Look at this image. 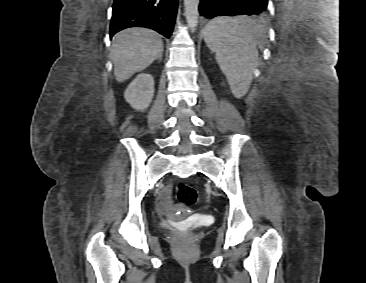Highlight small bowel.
Wrapping results in <instances>:
<instances>
[{"mask_svg": "<svg viewBox=\"0 0 366 283\" xmlns=\"http://www.w3.org/2000/svg\"><path fill=\"white\" fill-rule=\"evenodd\" d=\"M170 194H171L170 185H167L161 190L159 195V207L161 209H167L170 206Z\"/></svg>", "mask_w": 366, "mask_h": 283, "instance_id": "1", "label": "small bowel"}]
</instances>
